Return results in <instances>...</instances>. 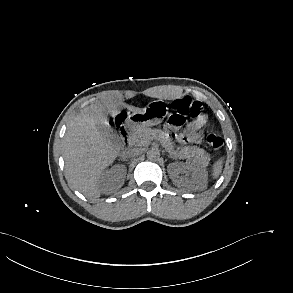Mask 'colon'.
Returning <instances> with one entry per match:
<instances>
[{"instance_id":"colon-1","label":"colon","mask_w":293,"mask_h":293,"mask_svg":"<svg viewBox=\"0 0 293 293\" xmlns=\"http://www.w3.org/2000/svg\"><path fill=\"white\" fill-rule=\"evenodd\" d=\"M173 113L168 117L166 121V130L175 134V132L183 126L187 118L201 117L204 112V105L197 100H193L190 97H182L173 101L172 103ZM179 136L178 138H182ZM206 141L209 146L216 152L220 151L223 140L221 136L216 132H209L206 136Z\"/></svg>"}]
</instances>
